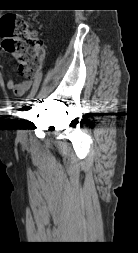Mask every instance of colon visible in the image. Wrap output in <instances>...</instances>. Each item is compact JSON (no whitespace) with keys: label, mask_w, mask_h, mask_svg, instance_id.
<instances>
[{"label":"colon","mask_w":138,"mask_h":253,"mask_svg":"<svg viewBox=\"0 0 138 253\" xmlns=\"http://www.w3.org/2000/svg\"><path fill=\"white\" fill-rule=\"evenodd\" d=\"M0 36L3 49L16 57L19 72L26 78L35 77L41 69L45 47L30 34L26 21L16 14L2 16Z\"/></svg>","instance_id":"colon-1"}]
</instances>
